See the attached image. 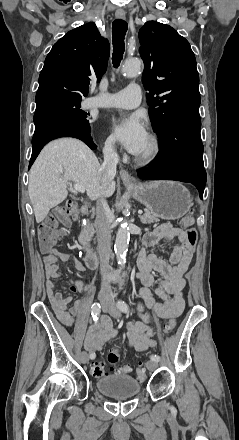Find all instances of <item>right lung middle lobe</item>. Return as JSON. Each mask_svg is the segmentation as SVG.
Segmentation results:
<instances>
[{"label":"right lung middle lobe","instance_id":"obj_1","mask_svg":"<svg viewBox=\"0 0 239 440\" xmlns=\"http://www.w3.org/2000/svg\"><path fill=\"white\" fill-rule=\"evenodd\" d=\"M81 97H73V96H54L50 97L44 100H41L39 102H36V111L47 109V108H53L58 109L72 118L84 122L89 123L87 120L88 113H84L80 109V102Z\"/></svg>","mask_w":239,"mask_h":440}]
</instances>
